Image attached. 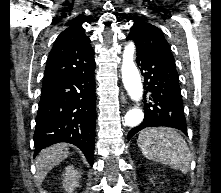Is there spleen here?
Wrapping results in <instances>:
<instances>
[{
    "label": "spleen",
    "instance_id": "obj_1",
    "mask_svg": "<svg viewBox=\"0 0 221 193\" xmlns=\"http://www.w3.org/2000/svg\"><path fill=\"white\" fill-rule=\"evenodd\" d=\"M142 154L149 160L168 165L174 170L187 173L190 153L184 138L171 128H146L137 140Z\"/></svg>",
    "mask_w": 221,
    "mask_h": 193
}]
</instances>
